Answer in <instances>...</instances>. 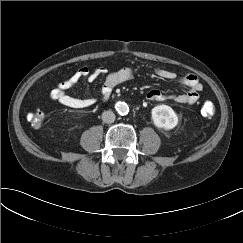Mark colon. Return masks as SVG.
<instances>
[{"instance_id": "1", "label": "colon", "mask_w": 243, "mask_h": 243, "mask_svg": "<svg viewBox=\"0 0 243 243\" xmlns=\"http://www.w3.org/2000/svg\"><path fill=\"white\" fill-rule=\"evenodd\" d=\"M201 113L206 117H212L215 114V106L211 102H204L201 106ZM27 119L32 127L39 128L44 121V113L41 109L31 111Z\"/></svg>"}]
</instances>
